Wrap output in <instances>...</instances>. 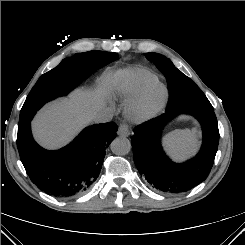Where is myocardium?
<instances>
[{
  "instance_id": "obj_1",
  "label": "myocardium",
  "mask_w": 245,
  "mask_h": 245,
  "mask_svg": "<svg viewBox=\"0 0 245 245\" xmlns=\"http://www.w3.org/2000/svg\"><path fill=\"white\" fill-rule=\"evenodd\" d=\"M159 88L161 95L158 101L150 105L148 103L149 93L152 89ZM168 100V90L164 84L154 81L147 84L139 95L126 106V114L135 123H145L157 117L165 108Z\"/></svg>"
}]
</instances>
